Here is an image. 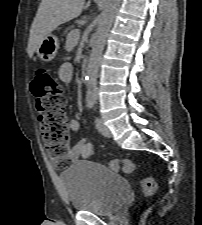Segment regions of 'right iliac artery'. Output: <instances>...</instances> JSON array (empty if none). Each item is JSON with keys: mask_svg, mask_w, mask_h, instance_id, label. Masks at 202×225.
<instances>
[{"mask_svg": "<svg viewBox=\"0 0 202 225\" xmlns=\"http://www.w3.org/2000/svg\"><path fill=\"white\" fill-rule=\"evenodd\" d=\"M87 106H88V108H92L93 107V102H89L88 104H87Z\"/></svg>", "mask_w": 202, "mask_h": 225, "instance_id": "82829eb1", "label": "right iliac artery"}]
</instances>
